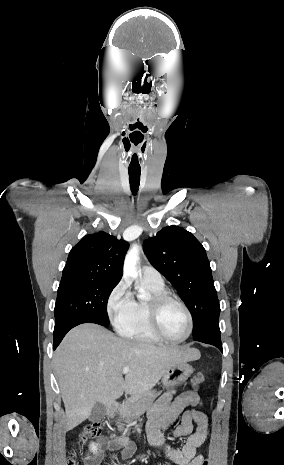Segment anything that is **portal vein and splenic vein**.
<instances>
[{"label":"portal vein and splenic vein","instance_id":"obj_1","mask_svg":"<svg viewBox=\"0 0 284 465\" xmlns=\"http://www.w3.org/2000/svg\"><path fill=\"white\" fill-rule=\"evenodd\" d=\"M129 371H130V367H124L123 375H127V373H129Z\"/></svg>","mask_w":284,"mask_h":465}]
</instances>
